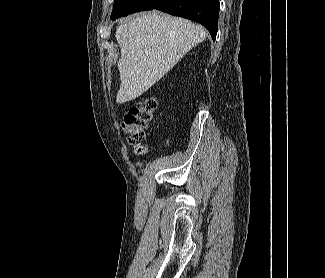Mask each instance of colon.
I'll use <instances>...</instances> for the list:
<instances>
[{
    "label": "colon",
    "mask_w": 325,
    "mask_h": 278,
    "mask_svg": "<svg viewBox=\"0 0 325 278\" xmlns=\"http://www.w3.org/2000/svg\"><path fill=\"white\" fill-rule=\"evenodd\" d=\"M156 109L157 101L154 98H143L136 101L123 118L122 128L139 155L146 151L141 143L146 138V131L154 119Z\"/></svg>",
    "instance_id": "colon-1"
}]
</instances>
